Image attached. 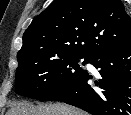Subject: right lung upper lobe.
Wrapping results in <instances>:
<instances>
[{
	"instance_id": "obj_1",
	"label": "right lung upper lobe",
	"mask_w": 131,
	"mask_h": 115,
	"mask_svg": "<svg viewBox=\"0 0 131 115\" xmlns=\"http://www.w3.org/2000/svg\"><path fill=\"white\" fill-rule=\"evenodd\" d=\"M131 45V19L120 0H54L23 35L18 69L53 54L90 58Z\"/></svg>"
}]
</instances>
